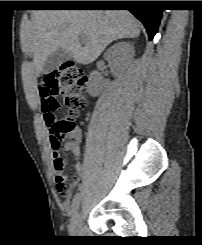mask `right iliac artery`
Segmentation results:
<instances>
[{"label":"right iliac artery","mask_w":202,"mask_h":245,"mask_svg":"<svg viewBox=\"0 0 202 245\" xmlns=\"http://www.w3.org/2000/svg\"><path fill=\"white\" fill-rule=\"evenodd\" d=\"M80 201H81V193L78 192V193H76L74 195V198L72 200V209H73V211H75L78 208V206L80 204Z\"/></svg>","instance_id":"right-iliac-artery-1"}]
</instances>
